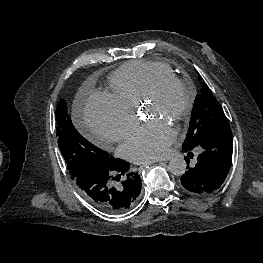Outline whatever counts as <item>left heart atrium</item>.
<instances>
[{
  "label": "left heart atrium",
  "instance_id": "1",
  "mask_svg": "<svg viewBox=\"0 0 263 263\" xmlns=\"http://www.w3.org/2000/svg\"><path fill=\"white\" fill-rule=\"evenodd\" d=\"M175 132L162 118H155L135 129L121 146V154L134 163H147L164 157Z\"/></svg>",
  "mask_w": 263,
  "mask_h": 263
}]
</instances>
